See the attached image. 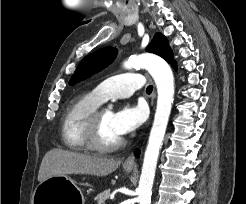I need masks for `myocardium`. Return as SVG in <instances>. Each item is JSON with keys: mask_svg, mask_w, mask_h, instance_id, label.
<instances>
[{"mask_svg": "<svg viewBox=\"0 0 246 204\" xmlns=\"http://www.w3.org/2000/svg\"><path fill=\"white\" fill-rule=\"evenodd\" d=\"M103 110H96L90 117L86 130H85V141L89 149H92L101 153L113 152L121 148L125 140L121 137L118 141L112 144H104L100 140V125H101V114Z\"/></svg>", "mask_w": 246, "mask_h": 204, "instance_id": "f54148a6", "label": "myocardium"}]
</instances>
